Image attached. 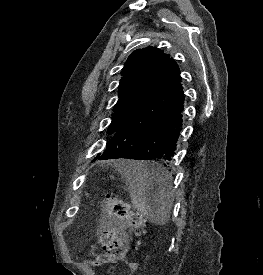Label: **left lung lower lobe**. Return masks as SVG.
Here are the masks:
<instances>
[{
    "label": "left lung lower lobe",
    "mask_w": 263,
    "mask_h": 275,
    "mask_svg": "<svg viewBox=\"0 0 263 275\" xmlns=\"http://www.w3.org/2000/svg\"><path fill=\"white\" fill-rule=\"evenodd\" d=\"M184 101L180 70L174 61L93 161L126 158L169 166L181 131ZM150 174L157 180L164 178L151 170Z\"/></svg>",
    "instance_id": "left-lung-lower-lobe-1"
}]
</instances>
